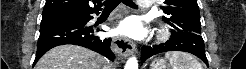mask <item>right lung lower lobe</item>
Returning <instances> with one entry per match:
<instances>
[{
  "label": "right lung lower lobe",
  "mask_w": 246,
  "mask_h": 69,
  "mask_svg": "<svg viewBox=\"0 0 246 69\" xmlns=\"http://www.w3.org/2000/svg\"><path fill=\"white\" fill-rule=\"evenodd\" d=\"M92 13L98 14L99 11L66 12L43 16L34 63L49 49L63 44H75L90 48L113 61L115 55L110 50L111 39L95 36L93 33L99 29L87 25V22L93 18Z\"/></svg>",
  "instance_id": "1"
}]
</instances>
